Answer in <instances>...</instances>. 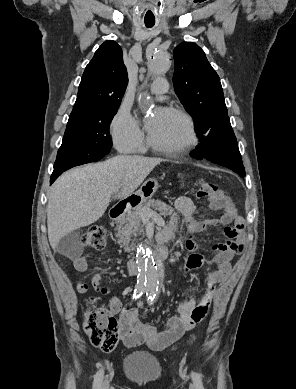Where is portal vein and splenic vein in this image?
Masks as SVG:
<instances>
[{"instance_id":"obj_1","label":"portal vein and splenic vein","mask_w":296,"mask_h":389,"mask_svg":"<svg viewBox=\"0 0 296 389\" xmlns=\"http://www.w3.org/2000/svg\"><path fill=\"white\" fill-rule=\"evenodd\" d=\"M141 216L142 218L152 219L156 222L164 224V220L159 215L153 213L150 209H142Z\"/></svg>"}]
</instances>
